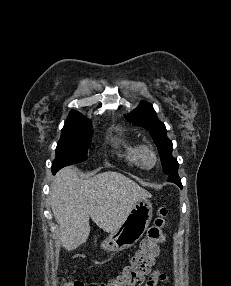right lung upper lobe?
I'll return each mask as SVG.
<instances>
[{
  "instance_id": "1",
  "label": "right lung upper lobe",
  "mask_w": 231,
  "mask_h": 286,
  "mask_svg": "<svg viewBox=\"0 0 231 286\" xmlns=\"http://www.w3.org/2000/svg\"><path fill=\"white\" fill-rule=\"evenodd\" d=\"M69 117H83L80 113L76 112V111H72L69 114Z\"/></svg>"
}]
</instances>
